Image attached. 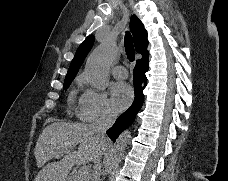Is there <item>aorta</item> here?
Returning <instances> with one entry per match:
<instances>
[{"instance_id": "obj_1", "label": "aorta", "mask_w": 228, "mask_h": 181, "mask_svg": "<svg viewBox=\"0 0 228 181\" xmlns=\"http://www.w3.org/2000/svg\"><path fill=\"white\" fill-rule=\"evenodd\" d=\"M117 54L116 43L113 39H107L89 55L85 65V72L91 84L97 89L104 90L108 86L109 68ZM130 137V131L127 130L116 140L112 149L109 171L118 166Z\"/></svg>"}]
</instances>
